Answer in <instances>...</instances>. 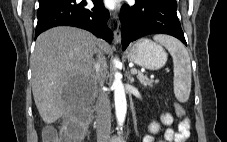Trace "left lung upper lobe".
<instances>
[{
	"instance_id": "left-lung-upper-lobe-1",
	"label": "left lung upper lobe",
	"mask_w": 227,
	"mask_h": 142,
	"mask_svg": "<svg viewBox=\"0 0 227 142\" xmlns=\"http://www.w3.org/2000/svg\"><path fill=\"white\" fill-rule=\"evenodd\" d=\"M136 1H139V0H136ZM171 1H174V2H176V0H171Z\"/></svg>"
}]
</instances>
